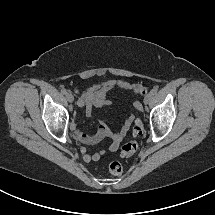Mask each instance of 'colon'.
<instances>
[{
  "mask_svg": "<svg viewBox=\"0 0 215 215\" xmlns=\"http://www.w3.org/2000/svg\"><path fill=\"white\" fill-rule=\"evenodd\" d=\"M144 131V126L139 117L135 119V123L132 128L131 132V140L127 141L126 143L123 144L121 147L120 155L123 158H127L132 156L138 147L137 144V139L139 136L142 135ZM108 171L111 175L113 176H120L123 173V166L119 161H111L108 164Z\"/></svg>",
  "mask_w": 215,
  "mask_h": 215,
  "instance_id": "5ec220e1",
  "label": "colon"
}]
</instances>
